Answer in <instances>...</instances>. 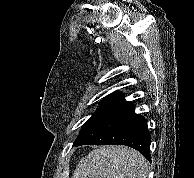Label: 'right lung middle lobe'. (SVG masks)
I'll return each mask as SVG.
<instances>
[{
	"instance_id": "obj_1",
	"label": "right lung middle lobe",
	"mask_w": 194,
	"mask_h": 178,
	"mask_svg": "<svg viewBox=\"0 0 194 178\" xmlns=\"http://www.w3.org/2000/svg\"><path fill=\"white\" fill-rule=\"evenodd\" d=\"M124 104L119 102L103 101L101 102L97 111L92 115V117L82 126L80 134L78 135L77 140L83 137L87 132L93 129L96 125L102 122L104 119L109 117Z\"/></svg>"
}]
</instances>
